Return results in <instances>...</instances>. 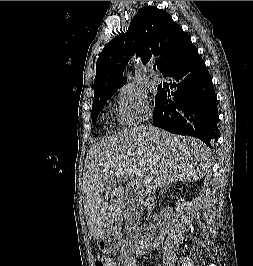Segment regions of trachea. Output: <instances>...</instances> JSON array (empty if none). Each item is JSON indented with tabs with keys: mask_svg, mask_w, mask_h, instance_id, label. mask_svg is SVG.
Wrapping results in <instances>:
<instances>
[{
	"mask_svg": "<svg viewBox=\"0 0 253 266\" xmlns=\"http://www.w3.org/2000/svg\"><path fill=\"white\" fill-rule=\"evenodd\" d=\"M153 69L156 70V66L155 65L153 66Z\"/></svg>",
	"mask_w": 253,
	"mask_h": 266,
	"instance_id": "trachea-1",
	"label": "trachea"
}]
</instances>
